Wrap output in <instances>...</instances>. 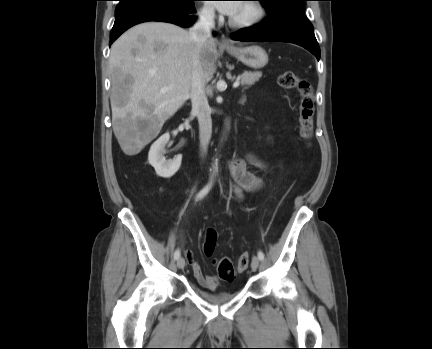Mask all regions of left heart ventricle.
<instances>
[{"label": "left heart ventricle", "mask_w": 432, "mask_h": 349, "mask_svg": "<svg viewBox=\"0 0 432 349\" xmlns=\"http://www.w3.org/2000/svg\"><path fill=\"white\" fill-rule=\"evenodd\" d=\"M254 15V9L249 4H240L238 10L232 15L236 19H246Z\"/></svg>", "instance_id": "obj_1"}]
</instances>
